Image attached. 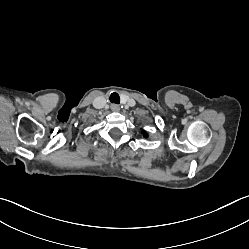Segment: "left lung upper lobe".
I'll return each instance as SVG.
<instances>
[{
    "label": "left lung upper lobe",
    "mask_w": 249,
    "mask_h": 249,
    "mask_svg": "<svg viewBox=\"0 0 249 249\" xmlns=\"http://www.w3.org/2000/svg\"><path fill=\"white\" fill-rule=\"evenodd\" d=\"M143 134H144L145 137L147 136V134L145 132H143Z\"/></svg>",
    "instance_id": "5c2ea615"
}]
</instances>
